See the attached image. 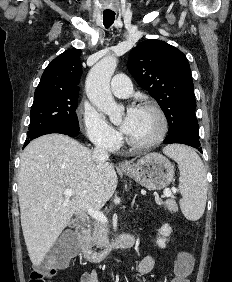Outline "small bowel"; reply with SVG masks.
Wrapping results in <instances>:
<instances>
[{"mask_svg":"<svg viewBox=\"0 0 232 282\" xmlns=\"http://www.w3.org/2000/svg\"><path fill=\"white\" fill-rule=\"evenodd\" d=\"M154 268V259L152 256H145L137 267V274L141 278L150 273ZM77 282H99V275L96 270L85 271L81 274ZM143 282V281H141Z\"/></svg>","mask_w":232,"mask_h":282,"instance_id":"obj_1","label":"small bowel"}]
</instances>
